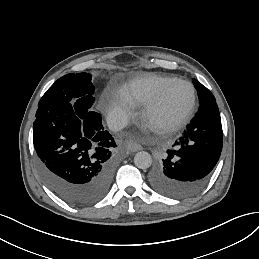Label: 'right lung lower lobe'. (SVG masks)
<instances>
[{
	"label": "right lung lower lobe",
	"instance_id": "1",
	"mask_svg": "<svg viewBox=\"0 0 259 259\" xmlns=\"http://www.w3.org/2000/svg\"><path fill=\"white\" fill-rule=\"evenodd\" d=\"M33 143L42 178L68 204L86 206L109 191L116 144L99 113H78L72 104L39 107Z\"/></svg>",
	"mask_w": 259,
	"mask_h": 259
}]
</instances>
